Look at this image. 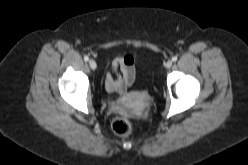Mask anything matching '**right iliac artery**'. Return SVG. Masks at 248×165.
Returning a JSON list of instances; mask_svg holds the SVG:
<instances>
[{"instance_id":"obj_1","label":"right iliac artery","mask_w":248,"mask_h":165,"mask_svg":"<svg viewBox=\"0 0 248 165\" xmlns=\"http://www.w3.org/2000/svg\"><path fill=\"white\" fill-rule=\"evenodd\" d=\"M84 60L85 61H88L89 60V57L88 56H84Z\"/></svg>"}]
</instances>
